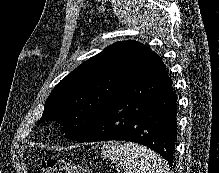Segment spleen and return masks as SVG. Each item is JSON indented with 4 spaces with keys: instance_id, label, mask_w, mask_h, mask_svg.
<instances>
[{
    "instance_id": "3e777b00",
    "label": "spleen",
    "mask_w": 219,
    "mask_h": 173,
    "mask_svg": "<svg viewBox=\"0 0 219 173\" xmlns=\"http://www.w3.org/2000/svg\"><path fill=\"white\" fill-rule=\"evenodd\" d=\"M102 154L122 168L123 173H172L158 154L132 142L103 145Z\"/></svg>"
}]
</instances>
